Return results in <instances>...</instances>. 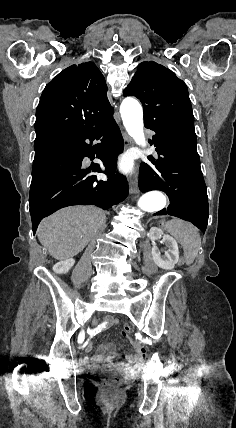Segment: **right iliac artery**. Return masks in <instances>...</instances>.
<instances>
[{"mask_svg":"<svg viewBox=\"0 0 236 428\" xmlns=\"http://www.w3.org/2000/svg\"><path fill=\"white\" fill-rule=\"evenodd\" d=\"M85 338V332L84 330L80 332L79 336H78V343H82L84 341Z\"/></svg>","mask_w":236,"mask_h":428,"instance_id":"82829eb1","label":"right iliac artery"}]
</instances>
